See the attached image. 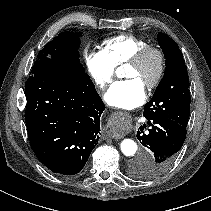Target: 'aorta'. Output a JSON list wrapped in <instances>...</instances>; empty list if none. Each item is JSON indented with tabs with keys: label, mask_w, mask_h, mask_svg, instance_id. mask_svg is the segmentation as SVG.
Wrapping results in <instances>:
<instances>
[{
	"label": "aorta",
	"mask_w": 211,
	"mask_h": 211,
	"mask_svg": "<svg viewBox=\"0 0 211 211\" xmlns=\"http://www.w3.org/2000/svg\"><path fill=\"white\" fill-rule=\"evenodd\" d=\"M120 148L127 157L134 156L138 149L137 144L132 139H124L120 144Z\"/></svg>",
	"instance_id": "762f6f07"
}]
</instances>
